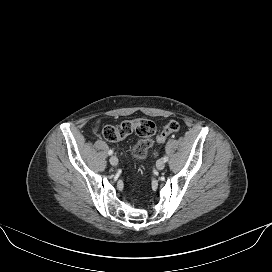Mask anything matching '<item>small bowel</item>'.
Listing matches in <instances>:
<instances>
[{
    "mask_svg": "<svg viewBox=\"0 0 272 272\" xmlns=\"http://www.w3.org/2000/svg\"><path fill=\"white\" fill-rule=\"evenodd\" d=\"M99 127H100V123L98 122V123H96V125H95V131H98ZM158 142L161 143L160 140H158Z\"/></svg>",
    "mask_w": 272,
    "mask_h": 272,
    "instance_id": "1",
    "label": "small bowel"
}]
</instances>
